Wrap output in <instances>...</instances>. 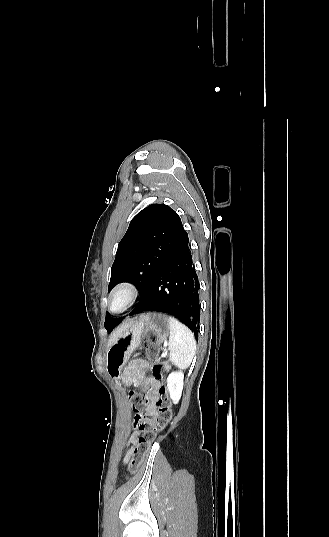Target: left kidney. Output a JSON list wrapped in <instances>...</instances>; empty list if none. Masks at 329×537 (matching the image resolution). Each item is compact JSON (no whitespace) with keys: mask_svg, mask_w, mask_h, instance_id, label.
<instances>
[{"mask_svg":"<svg viewBox=\"0 0 329 537\" xmlns=\"http://www.w3.org/2000/svg\"><path fill=\"white\" fill-rule=\"evenodd\" d=\"M183 379L184 374L182 371H174L169 374L167 378V388L170 395V398L174 403H178L182 390H183Z\"/></svg>","mask_w":329,"mask_h":537,"instance_id":"1","label":"left kidney"}]
</instances>
